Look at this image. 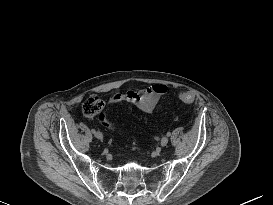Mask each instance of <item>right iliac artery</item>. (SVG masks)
Here are the masks:
<instances>
[{
  "mask_svg": "<svg viewBox=\"0 0 273 205\" xmlns=\"http://www.w3.org/2000/svg\"><path fill=\"white\" fill-rule=\"evenodd\" d=\"M91 132H92L93 134H95L96 131H95V129H92Z\"/></svg>",
  "mask_w": 273,
  "mask_h": 205,
  "instance_id": "right-iliac-artery-1",
  "label": "right iliac artery"
}]
</instances>
